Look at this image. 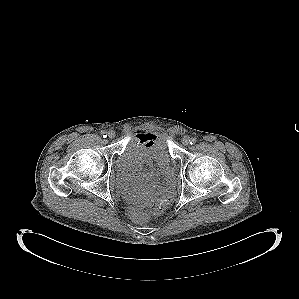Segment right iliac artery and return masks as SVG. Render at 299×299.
<instances>
[{"mask_svg": "<svg viewBox=\"0 0 299 299\" xmlns=\"http://www.w3.org/2000/svg\"><path fill=\"white\" fill-rule=\"evenodd\" d=\"M101 135L105 138V137H107V132L102 131Z\"/></svg>", "mask_w": 299, "mask_h": 299, "instance_id": "right-iliac-artery-1", "label": "right iliac artery"}]
</instances>
